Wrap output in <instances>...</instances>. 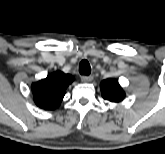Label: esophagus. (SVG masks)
<instances>
[{
  "label": "esophagus",
  "mask_w": 165,
  "mask_h": 154,
  "mask_svg": "<svg viewBox=\"0 0 165 154\" xmlns=\"http://www.w3.org/2000/svg\"><path fill=\"white\" fill-rule=\"evenodd\" d=\"M92 79H93L92 76H87V75L81 76V80H82L83 82H90V81H92Z\"/></svg>",
  "instance_id": "1"
}]
</instances>
